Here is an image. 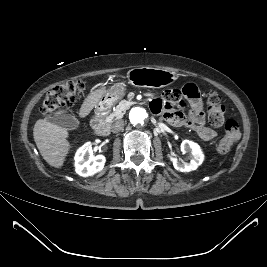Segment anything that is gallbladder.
Instances as JSON below:
<instances>
[{
    "label": "gallbladder",
    "mask_w": 267,
    "mask_h": 267,
    "mask_svg": "<svg viewBox=\"0 0 267 267\" xmlns=\"http://www.w3.org/2000/svg\"><path fill=\"white\" fill-rule=\"evenodd\" d=\"M49 121L55 125L72 130L80 125V121L73 115H56L51 117Z\"/></svg>",
    "instance_id": "gallbladder-1"
}]
</instances>
